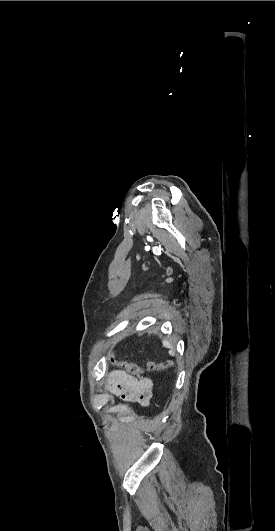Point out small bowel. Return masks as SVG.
Instances as JSON below:
<instances>
[{
  "label": "small bowel",
  "instance_id": "obj_1",
  "mask_svg": "<svg viewBox=\"0 0 275 531\" xmlns=\"http://www.w3.org/2000/svg\"><path fill=\"white\" fill-rule=\"evenodd\" d=\"M154 383L147 377H136L122 370L108 374L107 391L123 401L147 407L154 395Z\"/></svg>",
  "mask_w": 275,
  "mask_h": 531
}]
</instances>
